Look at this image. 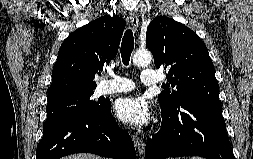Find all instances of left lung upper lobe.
Returning <instances> with one entry per match:
<instances>
[{
	"label": "left lung upper lobe",
	"instance_id": "1",
	"mask_svg": "<svg viewBox=\"0 0 253 159\" xmlns=\"http://www.w3.org/2000/svg\"><path fill=\"white\" fill-rule=\"evenodd\" d=\"M146 45L157 68L168 70L167 90L158 95L161 110L173 112L190 101L219 102V85L204 42L185 25L165 16L153 19Z\"/></svg>",
	"mask_w": 253,
	"mask_h": 159
}]
</instances>
